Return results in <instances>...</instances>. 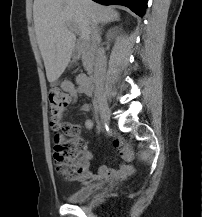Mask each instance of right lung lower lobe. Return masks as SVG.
Masks as SVG:
<instances>
[{
  "label": "right lung lower lobe",
  "instance_id": "98d812e1",
  "mask_svg": "<svg viewBox=\"0 0 202 217\" xmlns=\"http://www.w3.org/2000/svg\"><path fill=\"white\" fill-rule=\"evenodd\" d=\"M104 5L120 4L128 7L134 13L142 17L145 13V8L148 0H94Z\"/></svg>",
  "mask_w": 202,
  "mask_h": 217
}]
</instances>
